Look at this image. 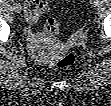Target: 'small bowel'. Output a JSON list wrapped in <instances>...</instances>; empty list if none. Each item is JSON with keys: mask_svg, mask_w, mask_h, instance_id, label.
I'll return each instance as SVG.
<instances>
[{"mask_svg": "<svg viewBox=\"0 0 111 106\" xmlns=\"http://www.w3.org/2000/svg\"><path fill=\"white\" fill-rule=\"evenodd\" d=\"M24 7L27 21L32 27L37 23L38 18L45 12L46 2L44 0H25ZM29 35L31 38H35V34L31 29L29 30Z\"/></svg>", "mask_w": 111, "mask_h": 106, "instance_id": "obj_1", "label": "small bowel"}]
</instances>
